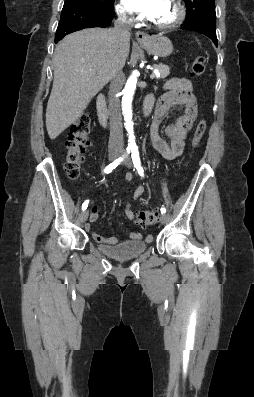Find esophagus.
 <instances>
[{"mask_svg": "<svg viewBox=\"0 0 254 397\" xmlns=\"http://www.w3.org/2000/svg\"><path fill=\"white\" fill-rule=\"evenodd\" d=\"M136 39L139 43H147L150 41V36L148 33L143 31L136 32Z\"/></svg>", "mask_w": 254, "mask_h": 397, "instance_id": "1", "label": "esophagus"}]
</instances>
